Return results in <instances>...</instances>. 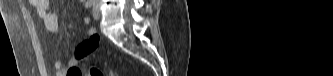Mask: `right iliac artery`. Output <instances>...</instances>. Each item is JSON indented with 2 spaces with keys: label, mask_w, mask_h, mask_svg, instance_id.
I'll return each mask as SVG.
<instances>
[{
  "label": "right iliac artery",
  "mask_w": 333,
  "mask_h": 76,
  "mask_svg": "<svg viewBox=\"0 0 333 76\" xmlns=\"http://www.w3.org/2000/svg\"><path fill=\"white\" fill-rule=\"evenodd\" d=\"M93 5V0H88L86 3H85V6L88 8V7H91Z\"/></svg>",
  "instance_id": "1"
}]
</instances>
